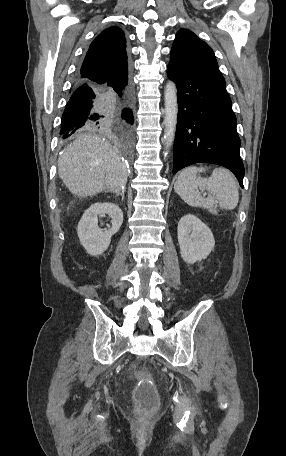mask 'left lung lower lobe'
Here are the masks:
<instances>
[{"instance_id": "1", "label": "left lung lower lobe", "mask_w": 286, "mask_h": 456, "mask_svg": "<svg viewBox=\"0 0 286 456\" xmlns=\"http://www.w3.org/2000/svg\"><path fill=\"white\" fill-rule=\"evenodd\" d=\"M167 74L178 90L173 173L194 163L217 164L231 170L243 188L241 142L225 86L171 63Z\"/></svg>"}]
</instances>
